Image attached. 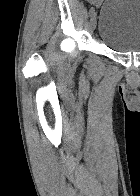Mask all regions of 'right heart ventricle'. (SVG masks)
Returning a JSON list of instances; mask_svg holds the SVG:
<instances>
[{
    "mask_svg": "<svg viewBox=\"0 0 140 196\" xmlns=\"http://www.w3.org/2000/svg\"><path fill=\"white\" fill-rule=\"evenodd\" d=\"M84 192H95V191H84ZM109 192H115V191H109Z\"/></svg>",
    "mask_w": 140,
    "mask_h": 196,
    "instance_id": "obj_1",
    "label": "right heart ventricle"
}]
</instances>
